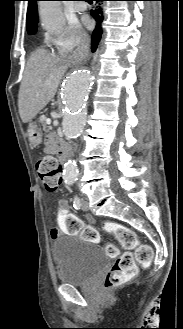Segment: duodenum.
I'll use <instances>...</instances> for the list:
<instances>
[{"instance_id":"410a0bca","label":"duodenum","mask_w":183,"mask_h":329,"mask_svg":"<svg viewBox=\"0 0 183 329\" xmlns=\"http://www.w3.org/2000/svg\"><path fill=\"white\" fill-rule=\"evenodd\" d=\"M69 151V146L66 142H61L59 144V148L57 150V154L59 155V160L62 164L65 163L66 155Z\"/></svg>"}]
</instances>
